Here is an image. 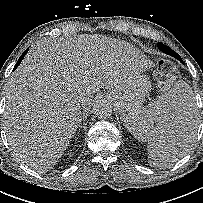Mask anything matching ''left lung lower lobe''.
<instances>
[{
	"mask_svg": "<svg viewBox=\"0 0 203 203\" xmlns=\"http://www.w3.org/2000/svg\"><path fill=\"white\" fill-rule=\"evenodd\" d=\"M159 49H160L163 53L170 54V55L174 56L173 53H172V51H171L170 49H166V48H164V47H160ZM174 57H175V56H174ZM176 58H177V57H176Z\"/></svg>",
	"mask_w": 203,
	"mask_h": 203,
	"instance_id": "0a47b994",
	"label": "left lung lower lobe"
}]
</instances>
